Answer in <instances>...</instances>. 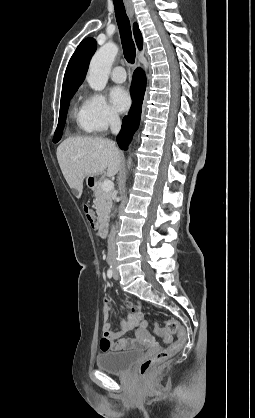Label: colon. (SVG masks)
<instances>
[{
    "label": "colon",
    "instance_id": "colon-1",
    "mask_svg": "<svg viewBox=\"0 0 255 418\" xmlns=\"http://www.w3.org/2000/svg\"><path fill=\"white\" fill-rule=\"evenodd\" d=\"M87 222L91 227H95L96 219L93 211L86 205L83 207ZM155 332L165 341L170 342L172 336L175 335L177 339L170 343V345L156 353L155 355L145 358L140 361L137 366V373L140 377H147L159 364L163 363L179 350H181L187 341L186 329L173 318L165 320V327L160 328L155 326Z\"/></svg>",
    "mask_w": 255,
    "mask_h": 418
}]
</instances>
